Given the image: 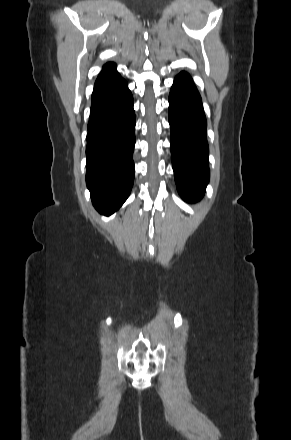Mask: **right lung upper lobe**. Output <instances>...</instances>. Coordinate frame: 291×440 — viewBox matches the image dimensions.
<instances>
[{
	"instance_id": "1",
	"label": "right lung upper lobe",
	"mask_w": 291,
	"mask_h": 440,
	"mask_svg": "<svg viewBox=\"0 0 291 440\" xmlns=\"http://www.w3.org/2000/svg\"><path fill=\"white\" fill-rule=\"evenodd\" d=\"M113 66H115V64L109 62V63H107V64L104 65V68L113 67Z\"/></svg>"
}]
</instances>
